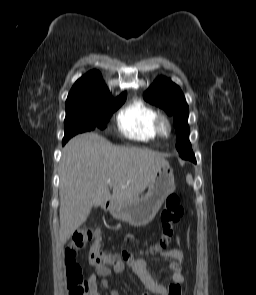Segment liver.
<instances>
[{
  "label": "liver",
  "mask_w": 256,
  "mask_h": 295,
  "mask_svg": "<svg viewBox=\"0 0 256 295\" xmlns=\"http://www.w3.org/2000/svg\"><path fill=\"white\" fill-rule=\"evenodd\" d=\"M166 163L158 152L116 146L96 133L73 137L59 165L61 243L87 220L93 206L138 198ZM108 186L113 188L112 195Z\"/></svg>",
  "instance_id": "liver-1"
}]
</instances>
